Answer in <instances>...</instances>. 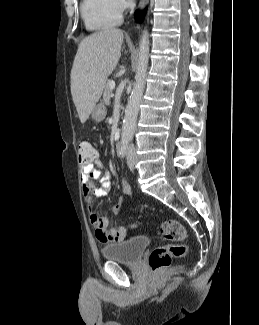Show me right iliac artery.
<instances>
[{"label":"right iliac artery","instance_id":"1","mask_svg":"<svg viewBox=\"0 0 259 325\" xmlns=\"http://www.w3.org/2000/svg\"><path fill=\"white\" fill-rule=\"evenodd\" d=\"M127 142H125L124 144H123V147H122V149H121V152H120V155L122 156V157H124L125 155H126V152H127Z\"/></svg>","mask_w":259,"mask_h":325}]
</instances>
